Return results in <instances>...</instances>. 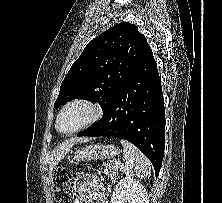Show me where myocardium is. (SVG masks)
<instances>
[{
	"instance_id": "myocardium-1",
	"label": "myocardium",
	"mask_w": 222,
	"mask_h": 203,
	"mask_svg": "<svg viewBox=\"0 0 222 203\" xmlns=\"http://www.w3.org/2000/svg\"><path fill=\"white\" fill-rule=\"evenodd\" d=\"M73 106L87 107L91 111V116L86 122H84L83 124H81L77 128H75L71 131H62L59 128V120H60L62 114L68 108L73 107ZM102 114H103V110H102L101 106H99L97 103H95L89 99H86V98H76V99H73V100L67 102L61 108V110L59 111V113L57 115L55 126H56L57 131L60 132L61 134L72 135V134L78 133V132L92 126L93 124H95L102 117Z\"/></svg>"
}]
</instances>
